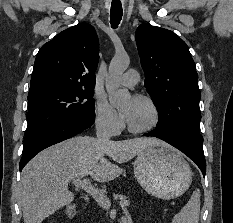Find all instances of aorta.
I'll use <instances>...</instances> for the list:
<instances>
[{
  "mask_svg": "<svg viewBox=\"0 0 233 223\" xmlns=\"http://www.w3.org/2000/svg\"><path fill=\"white\" fill-rule=\"evenodd\" d=\"M130 64L128 56L126 58H113L110 62L105 88L108 92L111 106H121L123 102L130 100L129 90H120L118 78L127 70Z\"/></svg>",
  "mask_w": 233,
  "mask_h": 223,
  "instance_id": "obj_1",
  "label": "aorta"
}]
</instances>
